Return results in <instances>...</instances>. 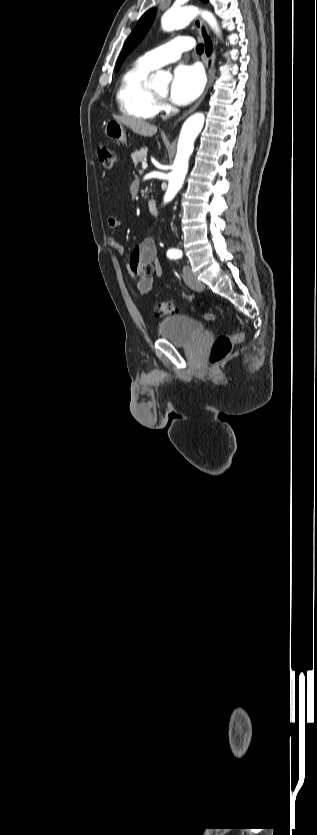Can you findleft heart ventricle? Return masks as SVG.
I'll return each instance as SVG.
<instances>
[{
  "label": "left heart ventricle",
  "instance_id": "1",
  "mask_svg": "<svg viewBox=\"0 0 317 835\" xmlns=\"http://www.w3.org/2000/svg\"><path fill=\"white\" fill-rule=\"evenodd\" d=\"M167 91H168V86L166 84L156 88V90H155V92H157L158 94L163 95V96H165L167 94Z\"/></svg>",
  "mask_w": 317,
  "mask_h": 835
}]
</instances>
